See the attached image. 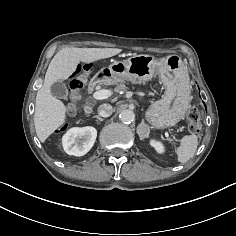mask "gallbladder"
Returning a JSON list of instances; mask_svg holds the SVG:
<instances>
[{"instance_id": "1", "label": "gallbladder", "mask_w": 236, "mask_h": 236, "mask_svg": "<svg viewBox=\"0 0 236 236\" xmlns=\"http://www.w3.org/2000/svg\"><path fill=\"white\" fill-rule=\"evenodd\" d=\"M50 90L51 94L59 99H66L69 95L66 85L61 80L53 83L50 87Z\"/></svg>"}]
</instances>
